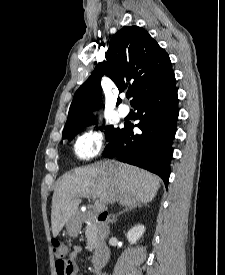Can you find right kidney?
<instances>
[{
  "mask_svg": "<svg viewBox=\"0 0 225 275\" xmlns=\"http://www.w3.org/2000/svg\"><path fill=\"white\" fill-rule=\"evenodd\" d=\"M145 231V227L143 225H137L131 228L127 233V239L131 244H135L137 240L141 238Z\"/></svg>",
  "mask_w": 225,
  "mask_h": 275,
  "instance_id": "1",
  "label": "right kidney"
}]
</instances>
